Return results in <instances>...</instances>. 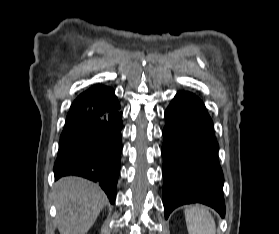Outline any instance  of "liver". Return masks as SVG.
Here are the masks:
<instances>
[{"mask_svg":"<svg viewBox=\"0 0 279 234\" xmlns=\"http://www.w3.org/2000/svg\"><path fill=\"white\" fill-rule=\"evenodd\" d=\"M55 204L60 234H86L107 204V197L95 183L70 176L55 184Z\"/></svg>","mask_w":279,"mask_h":234,"instance_id":"1","label":"liver"}]
</instances>
